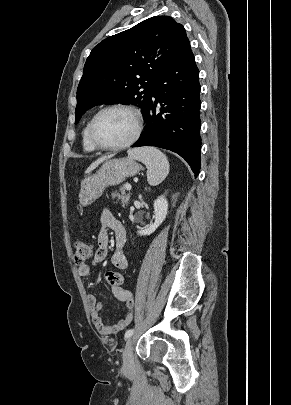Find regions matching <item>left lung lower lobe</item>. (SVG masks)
Segmentation results:
<instances>
[{
  "label": "left lung lower lobe",
  "mask_w": 291,
  "mask_h": 405,
  "mask_svg": "<svg viewBox=\"0 0 291 405\" xmlns=\"http://www.w3.org/2000/svg\"><path fill=\"white\" fill-rule=\"evenodd\" d=\"M190 43L186 38L153 84L144 116L145 133L132 147L171 150L191 166L201 167L200 83ZM160 103V112L156 110Z\"/></svg>",
  "instance_id": "obj_1"
}]
</instances>
